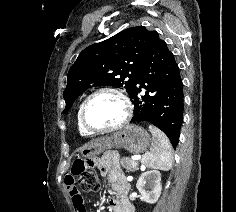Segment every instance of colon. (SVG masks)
I'll return each mask as SVG.
<instances>
[{
    "label": "colon",
    "instance_id": "colon-1",
    "mask_svg": "<svg viewBox=\"0 0 236 212\" xmlns=\"http://www.w3.org/2000/svg\"><path fill=\"white\" fill-rule=\"evenodd\" d=\"M74 173L79 176V187L84 191H96L99 187L95 165L92 161H77Z\"/></svg>",
    "mask_w": 236,
    "mask_h": 212
}]
</instances>
